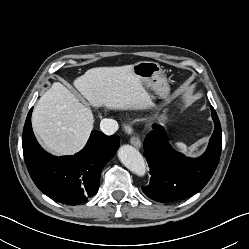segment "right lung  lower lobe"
<instances>
[{"instance_id":"98d812e1","label":"right lung lower lobe","mask_w":249,"mask_h":249,"mask_svg":"<svg viewBox=\"0 0 249 249\" xmlns=\"http://www.w3.org/2000/svg\"><path fill=\"white\" fill-rule=\"evenodd\" d=\"M32 108L22 136L23 154L36 186L60 203L77 205L95 195L100 174L120 144L118 136L92 131L86 146L74 156L54 157L38 144L31 126Z\"/></svg>"}]
</instances>
